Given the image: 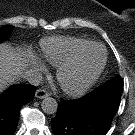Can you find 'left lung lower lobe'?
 <instances>
[{
  "instance_id": "1",
  "label": "left lung lower lobe",
  "mask_w": 135,
  "mask_h": 135,
  "mask_svg": "<svg viewBox=\"0 0 135 135\" xmlns=\"http://www.w3.org/2000/svg\"><path fill=\"white\" fill-rule=\"evenodd\" d=\"M123 86L97 87L76 100H60L56 117L51 119L54 135H105L118 111Z\"/></svg>"
}]
</instances>
